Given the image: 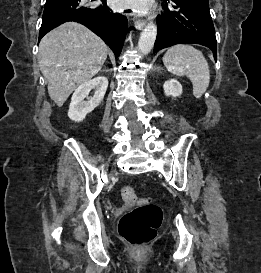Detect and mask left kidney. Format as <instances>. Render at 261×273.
Returning a JSON list of instances; mask_svg holds the SVG:
<instances>
[{
  "mask_svg": "<svg viewBox=\"0 0 261 273\" xmlns=\"http://www.w3.org/2000/svg\"><path fill=\"white\" fill-rule=\"evenodd\" d=\"M163 88L166 96L176 98L182 94V85L176 79L167 80Z\"/></svg>",
  "mask_w": 261,
  "mask_h": 273,
  "instance_id": "5707ae66",
  "label": "left kidney"
}]
</instances>
